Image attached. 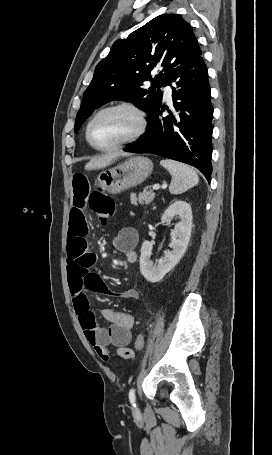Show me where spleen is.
Listing matches in <instances>:
<instances>
[{
    "mask_svg": "<svg viewBox=\"0 0 272 455\" xmlns=\"http://www.w3.org/2000/svg\"><path fill=\"white\" fill-rule=\"evenodd\" d=\"M160 164L166 168L172 176V181L169 185L171 194H181L196 186L199 182L196 171L186 164L169 159L162 160Z\"/></svg>",
    "mask_w": 272,
    "mask_h": 455,
    "instance_id": "1",
    "label": "spleen"
}]
</instances>
